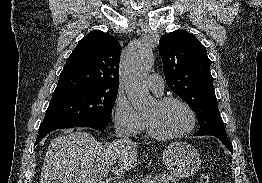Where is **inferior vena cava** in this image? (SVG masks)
<instances>
[{
  "mask_svg": "<svg viewBox=\"0 0 262 183\" xmlns=\"http://www.w3.org/2000/svg\"><path fill=\"white\" fill-rule=\"evenodd\" d=\"M115 134L117 137H120L121 139L130 140L127 134H125L124 131L119 126L115 127Z\"/></svg>",
  "mask_w": 262,
  "mask_h": 183,
  "instance_id": "1",
  "label": "inferior vena cava"
}]
</instances>
